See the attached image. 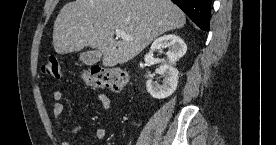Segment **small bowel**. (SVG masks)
Listing matches in <instances>:
<instances>
[{
  "label": "small bowel",
  "instance_id": "small-bowel-1",
  "mask_svg": "<svg viewBox=\"0 0 276 145\" xmlns=\"http://www.w3.org/2000/svg\"><path fill=\"white\" fill-rule=\"evenodd\" d=\"M97 99L100 102L103 109L110 108V100L105 94H97ZM54 105H53V115L54 119L58 125L61 126L62 130L70 135H77L82 131L80 125H75L73 127H66L62 124L61 117L63 113V93L61 91H55L53 93ZM96 139L102 140L107 137V131L104 128H97L94 132ZM62 145H69L68 142H63Z\"/></svg>",
  "mask_w": 276,
  "mask_h": 145
}]
</instances>
